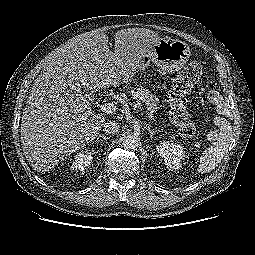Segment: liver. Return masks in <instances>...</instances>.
<instances>
[{
	"label": "liver",
	"mask_w": 255,
	"mask_h": 255,
	"mask_svg": "<svg viewBox=\"0 0 255 255\" xmlns=\"http://www.w3.org/2000/svg\"><path fill=\"white\" fill-rule=\"evenodd\" d=\"M159 35L128 28L108 36L90 31L58 49L33 84L23 110L21 142L35 171L46 172L99 135L105 116L95 114L82 90L98 92L128 83L153 53Z\"/></svg>",
	"instance_id": "obj_1"
}]
</instances>
